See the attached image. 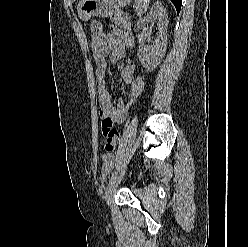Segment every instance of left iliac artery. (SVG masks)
<instances>
[{"instance_id": "44dca946", "label": "left iliac artery", "mask_w": 248, "mask_h": 247, "mask_svg": "<svg viewBox=\"0 0 248 247\" xmlns=\"http://www.w3.org/2000/svg\"><path fill=\"white\" fill-rule=\"evenodd\" d=\"M116 174H117V172H116V171H115V172H113V173H112V176H111V178H110V180H111L114 176H116ZM110 180H109V181H110Z\"/></svg>"}]
</instances>
